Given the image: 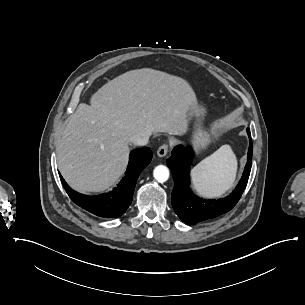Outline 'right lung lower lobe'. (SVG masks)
Wrapping results in <instances>:
<instances>
[{"label":"right lung lower lobe","mask_w":305,"mask_h":305,"mask_svg":"<svg viewBox=\"0 0 305 305\" xmlns=\"http://www.w3.org/2000/svg\"><path fill=\"white\" fill-rule=\"evenodd\" d=\"M151 159L150 148L133 150L129 157L125 177L110 193L98 196H87L72 190L61 174L59 176L63 187L75 204L97 216L114 218L124 214L130 206L138 176Z\"/></svg>","instance_id":"98d812e1"}]
</instances>
